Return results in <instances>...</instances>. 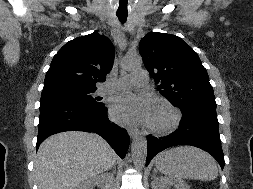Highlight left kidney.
Segmentation results:
<instances>
[{"mask_svg": "<svg viewBox=\"0 0 253 189\" xmlns=\"http://www.w3.org/2000/svg\"><path fill=\"white\" fill-rule=\"evenodd\" d=\"M152 189H190L189 185L183 180L159 177L152 183Z\"/></svg>", "mask_w": 253, "mask_h": 189, "instance_id": "5707ae66", "label": "left kidney"}]
</instances>
